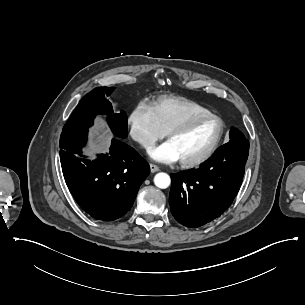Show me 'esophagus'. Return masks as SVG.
<instances>
[{
    "label": "esophagus",
    "instance_id": "1",
    "mask_svg": "<svg viewBox=\"0 0 305 305\" xmlns=\"http://www.w3.org/2000/svg\"><path fill=\"white\" fill-rule=\"evenodd\" d=\"M150 170H151V172H157V171H159V167L157 166V165H155V164H150Z\"/></svg>",
    "mask_w": 305,
    "mask_h": 305
}]
</instances>
